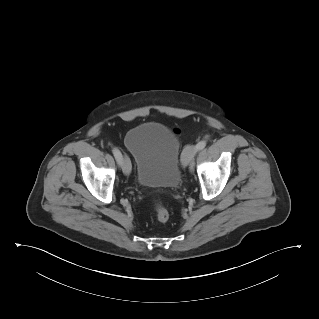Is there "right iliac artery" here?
Here are the masks:
<instances>
[{
    "label": "right iliac artery",
    "instance_id": "obj_1",
    "mask_svg": "<svg viewBox=\"0 0 319 319\" xmlns=\"http://www.w3.org/2000/svg\"><path fill=\"white\" fill-rule=\"evenodd\" d=\"M112 153H113L117 163L119 165H121V162H122V154H121V152L117 148H113L112 149Z\"/></svg>",
    "mask_w": 319,
    "mask_h": 319
}]
</instances>
